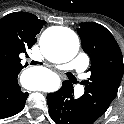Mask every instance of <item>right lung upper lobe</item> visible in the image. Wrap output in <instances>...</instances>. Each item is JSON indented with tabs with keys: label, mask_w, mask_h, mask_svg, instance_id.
I'll return each instance as SVG.
<instances>
[{
	"label": "right lung upper lobe",
	"mask_w": 124,
	"mask_h": 124,
	"mask_svg": "<svg viewBox=\"0 0 124 124\" xmlns=\"http://www.w3.org/2000/svg\"><path fill=\"white\" fill-rule=\"evenodd\" d=\"M45 21L27 12H14L0 19V78L18 75L25 67L19 55L36 43Z\"/></svg>",
	"instance_id": "cb5924a9"
}]
</instances>
